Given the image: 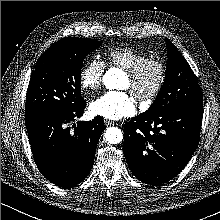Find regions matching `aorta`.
<instances>
[{
	"label": "aorta",
	"instance_id": "aorta-1",
	"mask_svg": "<svg viewBox=\"0 0 220 220\" xmlns=\"http://www.w3.org/2000/svg\"><path fill=\"white\" fill-rule=\"evenodd\" d=\"M123 75L119 69H110L103 76V83L107 89H117L118 80ZM105 139L110 144L120 143L123 139V134L121 130L117 127L107 128L105 132Z\"/></svg>",
	"mask_w": 220,
	"mask_h": 220
}]
</instances>
